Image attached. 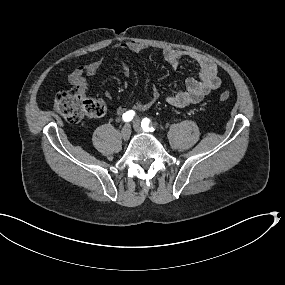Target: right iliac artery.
Returning a JSON list of instances; mask_svg holds the SVG:
<instances>
[{
    "instance_id": "82829eb1",
    "label": "right iliac artery",
    "mask_w": 285,
    "mask_h": 285,
    "mask_svg": "<svg viewBox=\"0 0 285 285\" xmlns=\"http://www.w3.org/2000/svg\"><path fill=\"white\" fill-rule=\"evenodd\" d=\"M134 115H135V112L133 110H129L126 113L123 114L122 119L125 122H129V121H131L133 119Z\"/></svg>"
}]
</instances>
